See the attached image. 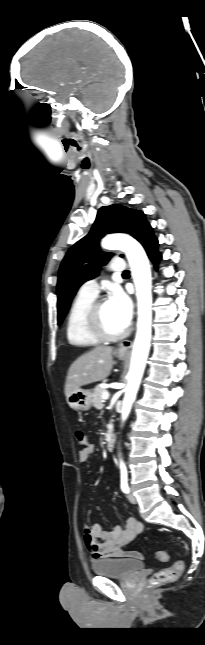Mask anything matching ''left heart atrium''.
Returning a JSON list of instances; mask_svg holds the SVG:
<instances>
[{
  "label": "left heart atrium",
  "instance_id": "obj_1",
  "mask_svg": "<svg viewBox=\"0 0 205 645\" xmlns=\"http://www.w3.org/2000/svg\"><path fill=\"white\" fill-rule=\"evenodd\" d=\"M123 328L131 322L133 305L129 296L120 288H113L107 301Z\"/></svg>",
  "mask_w": 205,
  "mask_h": 645
}]
</instances>
